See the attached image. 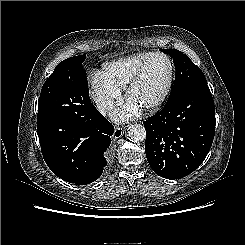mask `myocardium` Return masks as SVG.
<instances>
[{"label":"myocardium","mask_w":245,"mask_h":245,"mask_svg":"<svg viewBox=\"0 0 245 245\" xmlns=\"http://www.w3.org/2000/svg\"><path fill=\"white\" fill-rule=\"evenodd\" d=\"M153 57H162V58L166 59V61L168 62L169 72H168V77H167L164 89L161 92V94L159 95V97L155 101H153L152 103L142 107V109L146 112L157 111L165 103V101L167 100V98L171 92L173 80H174V65H173L171 58L162 52H152L143 61V63L140 65L137 72L133 76V78L128 83V85L126 87V98L128 100H130V97H131L133 90L139 85V83L141 82V80L143 78V75H144V72H145V69L147 67L149 60Z\"/></svg>","instance_id":"obj_1"}]
</instances>
